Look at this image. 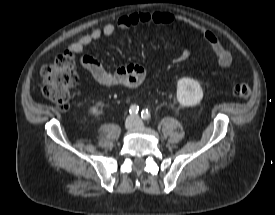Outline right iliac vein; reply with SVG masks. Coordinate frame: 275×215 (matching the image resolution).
Listing matches in <instances>:
<instances>
[{
  "label": "right iliac vein",
  "instance_id": "1",
  "mask_svg": "<svg viewBox=\"0 0 275 215\" xmlns=\"http://www.w3.org/2000/svg\"><path fill=\"white\" fill-rule=\"evenodd\" d=\"M135 126V119L133 117H128L125 121V128L127 130L132 129Z\"/></svg>",
  "mask_w": 275,
  "mask_h": 215
}]
</instances>
